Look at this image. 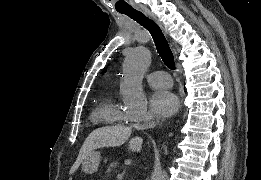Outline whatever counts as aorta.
I'll return each mask as SVG.
<instances>
[{
    "instance_id": "aorta-1",
    "label": "aorta",
    "mask_w": 261,
    "mask_h": 180,
    "mask_svg": "<svg viewBox=\"0 0 261 180\" xmlns=\"http://www.w3.org/2000/svg\"><path fill=\"white\" fill-rule=\"evenodd\" d=\"M150 63L151 52L144 46H138L126 53L121 95L124 105L131 111H141L147 107L142 80Z\"/></svg>"
}]
</instances>
